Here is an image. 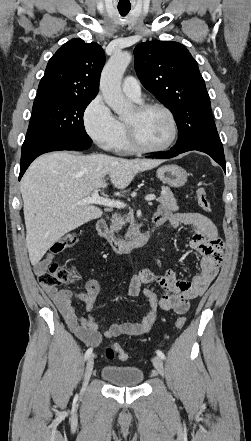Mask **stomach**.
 <instances>
[{
    "label": "stomach",
    "instance_id": "0dacf381",
    "mask_svg": "<svg viewBox=\"0 0 251 441\" xmlns=\"http://www.w3.org/2000/svg\"><path fill=\"white\" fill-rule=\"evenodd\" d=\"M157 177L171 187H182L187 182L188 174L182 167L174 164L158 168Z\"/></svg>",
    "mask_w": 251,
    "mask_h": 441
}]
</instances>
